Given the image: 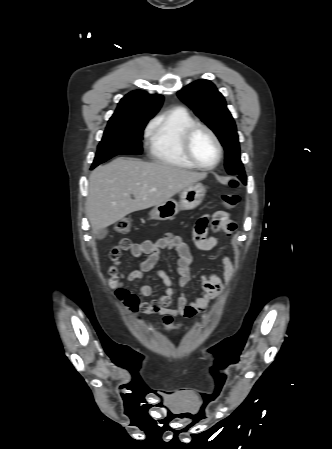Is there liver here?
Masks as SVG:
<instances>
[{
    "instance_id": "liver-1",
    "label": "liver",
    "mask_w": 332,
    "mask_h": 449,
    "mask_svg": "<svg viewBox=\"0 0 332 449\" xmlns=\"http://www.w3.org/2000/svg\"><path fill=\"white\" fill-rule=\"evenodd\" d=\"M206 176L166 163L120 157L92 171L86 214L97 232L132 212L168 201Z\"/></svg>"
}]
</instances>
